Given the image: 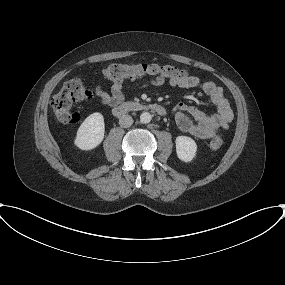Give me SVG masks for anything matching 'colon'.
Wrapping results in <instances>:
<instances>
[{
    "label": "colon",
    "instance_id": "obj_1",
    "mask_svg": "<svg viewBox=\"0 0 285 285\" xmlns=\"http://www.w3.org/2000/svg\"><path fill=\"white\" fill-rule=\"evenodd\" d=\"M101 75L113 82H122L125 79L150 77L163 80H175L188 76V73L175 66L159 64L126 65L114 63L101 71ZM92 97L90 90L78 79L67 81L51 99V107L56 120L63 125H74L80 122V116L72 108L77 102L88 100ZM224 140L214 136L210 147L214 150L221 148Z\"/></svg>",
    "mask_w": 285,
    "mask_h": 285
}]
</instances>
